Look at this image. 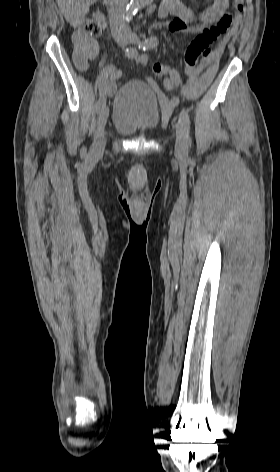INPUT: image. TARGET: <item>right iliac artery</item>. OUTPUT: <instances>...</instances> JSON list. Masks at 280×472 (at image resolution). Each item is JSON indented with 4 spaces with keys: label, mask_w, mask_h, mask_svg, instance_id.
<instances>
[{
    "label": "right iliac artery",
    "mask_w": 280,
    "mask_h": 472,
    "mask_svg": "<svg viewBox=\"0 0 280 472\" xmlns=\"http://www.w3.org/2000/svg\"><path fill=\"white\" fill-rule=\"evenodd\" d=\"M125 54L128 58L134 59L138 55V51L135 48H127ZM115 67L113 65H108L101 71L99 77V90L100 96L96 104L97 111L105 105L106 103V93H107V85H108V78L114 72Z\"/></svg>",
    "instance_id": "1"
}]
</instances>
